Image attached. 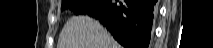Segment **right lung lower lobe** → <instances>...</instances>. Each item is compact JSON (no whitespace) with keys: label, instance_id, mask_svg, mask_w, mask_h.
Here are the masks:
<instances>
[{"label":"right lung lower lobe","instance_id":"obj_1","mask_svg":"<svg viewBox=\"0 0 213 48\" xmlns=\"http://www.w3.org/2000/svg\"><path fill=\"white\" fill-rule=\"evenodd\" d=\"M156 0H94L84 14L98 19L126 48H148Z\"/></svg>","mask_w":213,"mask_h":48}]
</instances>
